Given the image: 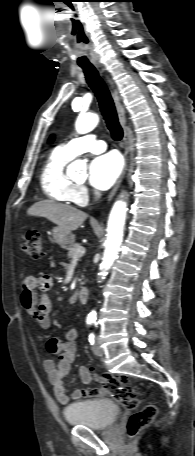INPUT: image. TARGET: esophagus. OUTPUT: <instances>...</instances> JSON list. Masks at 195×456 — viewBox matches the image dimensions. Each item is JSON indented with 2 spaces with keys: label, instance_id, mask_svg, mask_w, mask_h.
<instances>
[{
  "label": "esophagus",
  "instance_id": "esophagus-1",
  "mask_svg": "<svg viewBox=\"0 0 195 456\" xmlns=\"http://www.w3.org/2000/svg\"><path fill=\"white\" fill-rule=\"evenodd\" d=\"M102 72H104V71L102 70ZM106 79H107L109 85L112 88V96H113L114 103H115V106H116L119 122H120V124L122 126V129H123L122 147L124 149V160H125L123 171H122L120 177L118 178L117 182L115 183L113 189L111 190V192L109 193V195L107 197V201L109 202L114 197L115 193L117 192L118 188L120 187V184H121L122 180L124 179L126 171H127V168H128V140H129V135H128L127 127H126L125 111H124V108H123V106L121 104V99H120V96L118 94V91H117V89H116V87L114 85V82L112 81V79L108 75H106Z\"/></svg>",
  "mask_w": 195,
  "mask_h": 456
}]
</instances>
